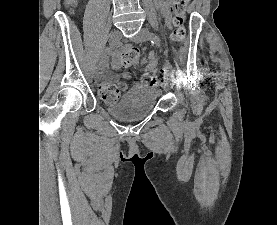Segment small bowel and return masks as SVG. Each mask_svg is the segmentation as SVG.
Instances as JSON below:
<instances>
[{"instance_id":"obj_1","label":"small bowel","mask_w":277,"mask_h":225,"mask_svg":"<svg viewBox=\"0 0 277 225\" xmlns=\"http://www.w3.org/2000/svg\"><path fill=\"white\" fill-rule=\"evenodd\" d=\"M156 6L158 8V10L160 11V13L169 21L170 20V0H155ZM150 63L148 65V69L149 70H153L156 68L157 63H158V57L155 56L154 54L150 55ZM113 68L114 69H119L120 65L115 61L113 63ZM98 76L103 78V79H109L110 78V74L108 73V68L106 64H101L99 67V71H98ZM135 88H141L142 85L141 84H136L134 86Z\"/></svg>"}]
</instances>
